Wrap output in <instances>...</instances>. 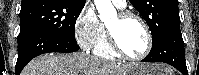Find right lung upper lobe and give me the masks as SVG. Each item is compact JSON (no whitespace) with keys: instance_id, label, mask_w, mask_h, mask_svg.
Listing matches in <instances>:
<instances>
[{"instance_id":"obj_1","label":"right lung upper lobe","mask_w":199,"mask_h":75,"mask_svg":"<svg viewBox=\"0 0 199 75\" xmlns=\"http://www.w3.org/2000/svg\"><path fill=\"white\" fill-rule=\"evenodd\" d=\"M45 2V1H52V0H22V4L25 3H37V2ZM61 1H65V2H69V3H73V4H85L86 0H61Z\"/></svg>"}]
</instances>
